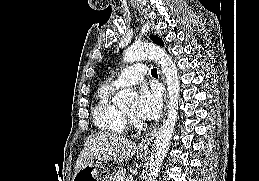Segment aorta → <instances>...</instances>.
<instances>
[{
  "label": "aorta",
  "mask_w": 259,
  "mask_h": 181,
  "mask_svg": "<svg viewBox=\"0 0 259 181\" xmlns=\"http://www.w3.org/2000/svg\"><path fill=\"white\" fill-rule=\"evenodd\" d=\"M153 59L161 65L166 78L168 91L167 117L160 127L154 144L152 146L149 174L147 181H156L163 159L166 156L178 115V99L180 92V81L178 70L171 57L162 48L151 43H137L127 48L123 60L132 63L143 59ZM134 101V92L130 89L120 90L113 102L118 106H126Z\"/></svg>",
  "instance_id": "aorta-1"
}]
</instances>
